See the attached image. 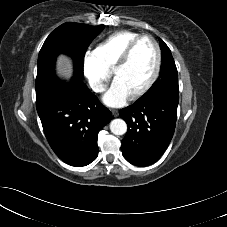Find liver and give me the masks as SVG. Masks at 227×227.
<instances>
[{
	"instance_id": "1",
	"label": "liver",
	"mask_w": 227,
	"mask_h": 227,
	"mask_svg": "<svg viewBox=\"0 0 227 227\" xmlns=\"http://www.w3.org/2000/svg\"><path fill=\"white\" fill-rule=\"evenodd\" d=\"M57 75L64 79H68L72 76V63L68 57L61 55L58 58Z\"/></svg>"
}]
</instances>
